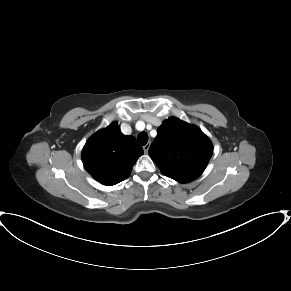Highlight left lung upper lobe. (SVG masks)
Wrapping results in <instances>:
<instances>
[{
  "mask_svg": "<svg viewBox=\"0 0 291 291\" xmlns=\"http://www.w3.org/2000/svg\"><path fill=\"white\" fill-rule=\"evenodd\" d=\"M213 153L209 138L196 126L178 118L165 120L149 148L161 172L180 183L198 178Z\"/></svg>",
  "mask_w": 291,
  "mask_h": 291,
  "instance_id": "left-lung-upper-lobe-1",
  "label": "left lung upper lobe"
}]
</instances>
